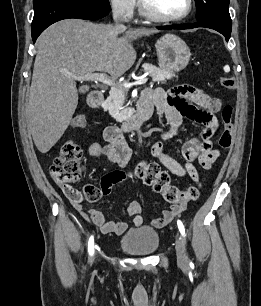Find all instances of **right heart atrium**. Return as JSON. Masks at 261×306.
I'll return each instance as SVG.
<instances>
[{"label":"right heart atrium","mask_w":261,"mask_h":306,"mask_svg":"<svg viewBox=\"0 0 261 306\" xmlns=\"http://www.w3.org/2000/svg\"><path fill=\"white\" fill-rule=\"evenodd\" d=\"M112 12L123 20H129L135 11L136 0H109Z\"/></svg>","instance_id":"1"}]
</instances>
